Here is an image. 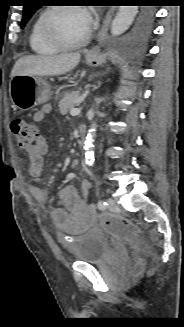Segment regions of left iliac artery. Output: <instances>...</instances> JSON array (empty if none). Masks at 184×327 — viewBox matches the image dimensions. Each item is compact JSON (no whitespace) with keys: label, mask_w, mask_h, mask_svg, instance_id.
Masks as SVG:
<instances>
[{"label":"left iliac artery","mask_w":184,"mask_h":327,"mask_svg":"<svg viewBox=\"0 0 184 327\" xmlns=\"http://www.w3.org/2000/svg\"><path fill=\"white\" fill-rule=\"evenodd\" d=\"M107 205H108L107 202H105L103 200H100L97 203L98 208L101 209V210L105 209L107 207Z\"/></svg>","instance_id":"obj_1"}]
</instances>
